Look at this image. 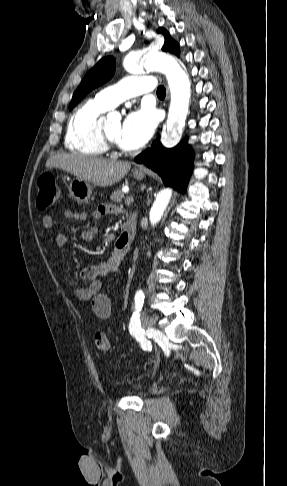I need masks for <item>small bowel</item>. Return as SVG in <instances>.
<instances>
[{
	"label": "small bowel",
	"instance_id": "c3829d8e",
	"mask_svg": "<svg viewBox=\"0 0 287 486\" xmlns=\"http://www.w3.org/2000/svg\"><path fill=\"white\" fill-rule=\"evenodd\" d=\"M116 207L111 204H101L91 214L94 220L100 219L104 215L116 212ZM64 217L68 220L82 222L87 219V212L84 210H66ZM43 227L47 230H53L55 227L54 220L50 215H45L42 219ZM98 233L97 227H89L83 229L80 233L84 241L93 240ZM69 240V235L65 232L58 233L55 238V246L57 249H63ZM125 253H118L116 247L111 256L102 263L96 265H89L81 268L78 273L79 279L89 282L86 287L75 288L73 293L78 300L92 301V308L94 313L100 319L106 320L111 316L112 303L109 295L103 291V281L101 278L111 274L117 273L119 267L126 257Z\"/></svg>",
	"mask_w": 287,
	"mask_h": 486
}]
</instances>
